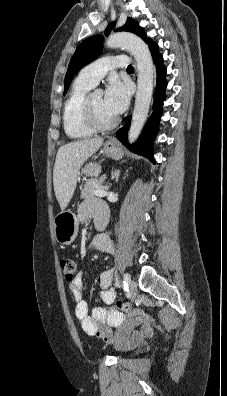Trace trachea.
<instances>
[{
  "label": "trachea",
  "mask_w": 227,
  "mask_h": 396,
  "mask_svg": "<svg viewBox=\"0 0 227 396\" xmlns=\"http://www.w3.org/2000/svg\"><path fill=\"white\" fill-rule=\"evenodd\" d=\"M127 70H128V71H133L134 68H133V66L129 65V66L127 67Z\"/></svg>",
  "instance_id": "1"
}]
</instances>
